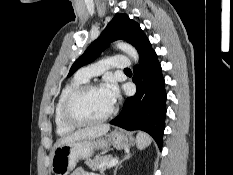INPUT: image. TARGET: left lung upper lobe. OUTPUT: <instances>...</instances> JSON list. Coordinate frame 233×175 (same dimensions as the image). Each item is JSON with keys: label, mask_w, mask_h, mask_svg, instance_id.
<instances>
[{"label": "left lung upper lobe", "mask_w": 233, "mask_h": 175, "mask_svg": "<svg viewBox=\"0 0 233 175\" xmlns=\"http://www.w3.org/2000/svg\"><path fill=\"white\" fill-rule=\"evenodd\" d=\"M116 40L129 42L137 49L139 55L150 45L149 39L137 22L130 19L126 14H118L108 23L99 38L92 42L87 50L75 61L68 77L78 68L95 60L110 42Z\"/></svg>", "instance_id": "1"}]
</instances>
